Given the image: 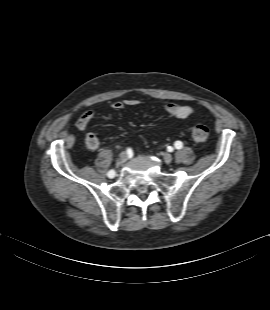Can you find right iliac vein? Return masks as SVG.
<instances>
[{
  "instance_id": "63e3f726",
  "label": "right iliac vein",
  "mask_w": 270,
  "mask_h": 310,
  "mask_svg": "<svg viewBox=\"0 0 270 310\" xmlns=\"http://www.w3.org/2000/svg\"><path fill=\"white\" fill-rule=\"evenodd\" d=\"M128 156L125 152H122L120 154V162H125L127 160Z\"/></svg>"
}]
</instances>
